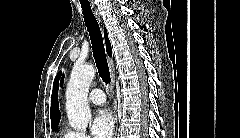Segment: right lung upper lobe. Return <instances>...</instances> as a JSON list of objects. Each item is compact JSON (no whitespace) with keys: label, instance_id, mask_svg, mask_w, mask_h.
I'll list each match as a JSON object with an SVG mask.
<instances>
[{"label":"right lung upper lobe","instance_id":"1","mask_svg":"<svg viewBox=\"0 0 240 138\" xmlns=\"http://www.w3.org/2000/svg\"><path fill=\"white\" fill-rule=\"evenodd\" d=\"M104 37L106 43V49L109 56H111V44L108 39L107 31L104 28ZM61 72H59L54 80L53 91L51 96V124L52 126L58 125L60 121V111H59V103H58V81L60 78Z\"/></svg>","mask_w":240,"mask_h":138}]
</instances>
